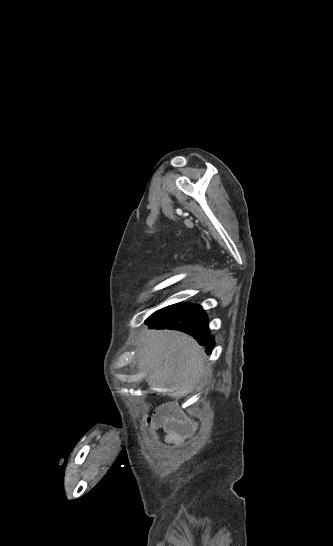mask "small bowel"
Returning a JSON list of instances; mask_svg holds the SVG:
<instances>
[{
	"instance_id": "obj_1",
	"label": "small bowel",
	"mask_w": 333,
	"mask_h": 546,
	"mask_svg": "<svg viewBox=\"0 0 333 546\" xmlns=\"http://www.w3.org/2000/svg\"><path fill=\"white\" fill-rule=\"evenodd\" d=\"M155 425H162L165 432V443L167 445H180L195 430V423L189 419L180 417L170 420L154 418Z\"/></svg>"
}]
</instances>
